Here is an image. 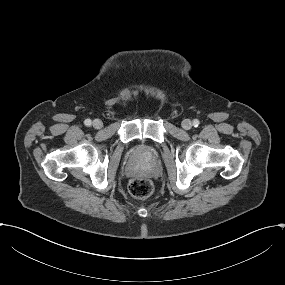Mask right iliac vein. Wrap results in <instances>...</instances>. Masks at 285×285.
I'll use <instances>...</instances> for the list:
<instances>
[{"label":"right iliac vein","mask_w":285,"mask_h":285,"mask_svg":"<svg viewBox=\"0 0 285 285\" xmlns=\"http://www.w3.org/2000/svg\"><path fill=\"white\" fill-rule=\"evenodd\" d=\"M92 126L95 128V129H100L103 127V123L100 119H95L92 123Z\"/></svg>","instance_id":"1"}]
</instances>
